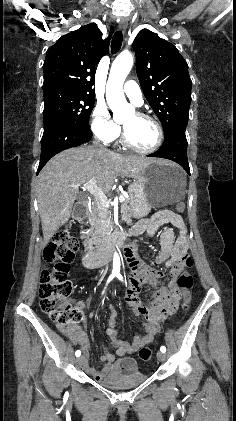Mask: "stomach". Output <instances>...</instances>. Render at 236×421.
<instances>
[{
	"label": "stomach",
	"instance_id": "stomach-1",
	"mask_svg": "<svg viewBox=\"0 0 236 421\" xmlns=\"http://www.w3.org/2000/svg\"><path fill=\"white\" fill-rule=\"evenodd\" d=\"M128 192L131 217L142 219L149 215L153 206L175 204L184 198L186 174L173 162H149L139 168Z\"/></svg>",
	"mask_w": 236,
	"mask_h": 421
}]
</instances>
